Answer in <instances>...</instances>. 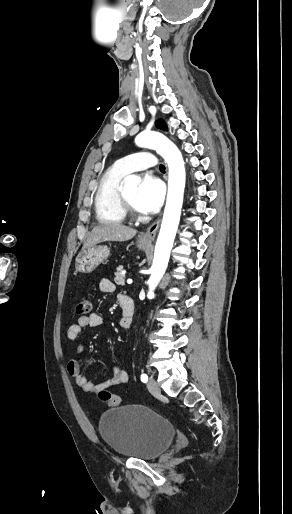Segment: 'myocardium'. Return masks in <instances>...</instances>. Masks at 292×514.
<instances>
[{"instance_id": "obj_1", "label": "myocardium", "mask_w": 292, "mask_h": 514, "mask_svg": "<svg viewBox=\"0 0 292 514\" xmlns=\"http://www.w3.org/2000/svg\"><path fill=\"white\" fill-rule=\"evenodd\" d=\"M115 202L118 209L128 217L136 218L138 216V210L133 207L124 197L123 192L120 188L116 190Z\"/></svg>"}]
</instances>
